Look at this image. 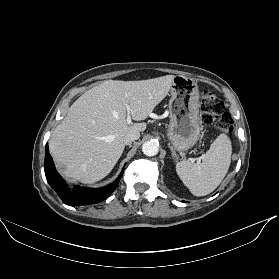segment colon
Returning <instances> with one entry per match:
<instances>
[{"label": "colon", "instance_id": "colon-1", "mask_svg": "<svg viewBox=\"0 0 279 279\" xmlns=\"http://www.w3.org/2000/svg\"><path fill=\"white\" fill-rule=\"evenodd\" d=\"M201 117L204 123L213 124L219 131L229 133L233 128L231 115L223 103L209 90L201 92Z\"/></svg>", "mask_w": 279, "mask_h": 279}]
</instances>
